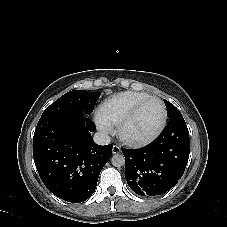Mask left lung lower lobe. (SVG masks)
Here are the masks:
<instances>
[{
    "instance_id": "left-lung-lower-lobe-1",
    "label": "left lung lower lobe",
    "mask_w": 227,
    "mask_h": 227,
    "mask_svg": "<svg viewBox=\"0 0 227 227\" xmlns=\"http://www.w3.org/2000/svg\"><path fill=\"white\" fill-rule=\"evenodd\" d=\"M125 156V179L141 196H156L169 191L182 177L189 158V131L181 113L148 146L121 148Z\"/></svg>"
}]
</instances>
